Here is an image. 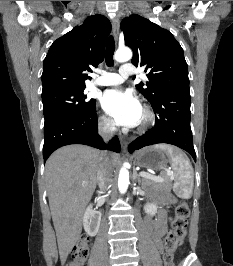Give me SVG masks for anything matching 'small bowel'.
Masks as SVG:
<instances>
[{"label": "small bowel", "mask_w": 233, "mask_h": 266, "mask_svg": "<svg viewBox=\"0 0 233 266\" xmlns=\"http://www.w3.org/2000/svg\"><path fill=\"white\" fill-rule=\"evenodd\" d=\"M172 202V198L165 196L161 199V207L156 217L147 216L145 223L146 227L152 235L158 249H162V239L167 229V209L166 204Z\"/></svg>", "instance_id": "small-bowel-1"}]
</instances>
